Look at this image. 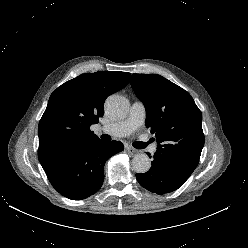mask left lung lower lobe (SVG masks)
I'll use <instances>...</instances> for the list:
<instances>
[{"label":"left lung lower lobe","instance_id":"obj_1","mask_svg":"<svg viewBox=\"0 0 248 248\" xmlns=\"http://www.w3.org/2000/svg\"><path fill=\"white\" fill-rule=\"evenodd\" d=\"M150 156V153H147ZM137 181L147 190L164 194L181 187L189 176L185 175L174 165L156 157L150 170L144 174H136Z\"/></svg>","mask_w":248,"mask_h":248}]
</instances>
